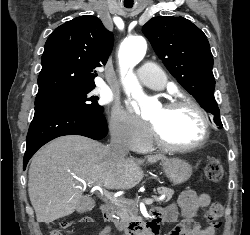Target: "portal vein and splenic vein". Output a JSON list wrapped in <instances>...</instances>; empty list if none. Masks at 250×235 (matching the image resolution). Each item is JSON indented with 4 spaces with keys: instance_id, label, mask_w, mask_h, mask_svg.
I'll use <instances>...</instances> for the list:
<instances>
[{
    "instance_id": "portal-vein-and-splenic-vein-1",
    "label": "portal vein and splenic vein",
    "mask_w": 250,
    "mask_h": 235,
    "mask_svg": "<svg viewBox=\"0 0 250 235\" xmlns=\"http://www.w3.org/2000/svg\"><path fill=\"white\" fill-rule=\"evenodd\" d=\"M104 194H105V197H106V198H108L109 200H112L113 202H115V199L112 197V194H111V193L105 191ZM164 198H165V196L163 195V196H161V197H160L159 199H157V200H163ZM143 202H144L145 204H147V205H150V204H152V203L154 202V200H153V199H143Z\"/></svg>"
}]
</instances>
